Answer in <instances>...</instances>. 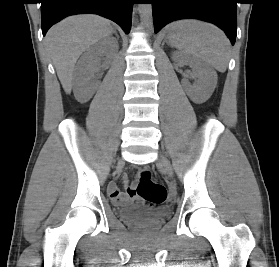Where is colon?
<instances>
[{"mask_svg":"<svg viewBox=\"0 0 279 267\" xmlns=\"http://www.w3.org/2000/svg\"><path fill=\"white\" fill-rule=\"evenodd\" d=\"M135 192L149 205H160L164 203L167 197L165 186L155 182L147 169L140 171Z\"/></svg>","mask_w":279,"mask_h":267,"instance_id":"5ec220e1","label":"colon"}]
</instances>
